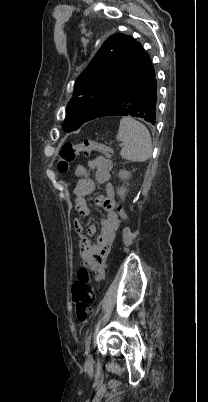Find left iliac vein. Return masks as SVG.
Listing matches in <instances>:
<instances>
[{"label":"left iliac vein","mask_w":208,"mask_h":402,"mask_svg":"<svg viewBox=\"0 0 208 402\" xmlns=\"http://www.w3.org/2000/svg\"><path fill=\"white\" fill-rule=\"evenodd\" d=\"M92 363H93V357H92L91 354H88V355H87V359H86V364H87L88 366H90V365H92Z\"/></svg>","instance_id":"4c4485c4"}]
</instances>
